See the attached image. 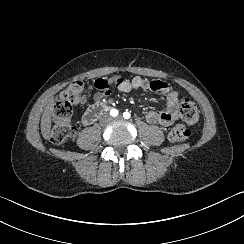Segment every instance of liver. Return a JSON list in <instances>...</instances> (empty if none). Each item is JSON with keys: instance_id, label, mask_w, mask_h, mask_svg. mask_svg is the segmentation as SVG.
Listing matches in <instances>:
<instances>
[{"instance_id": "obj_1", "label": "liver", "mask_w": 244, "mask_h": 244, "mask_svg": "<svg viewBox=\"0 0 244 244\" xmlns=\"http://www.w3.org/2000/svg\"><path fill=\"white\" fill-rule=\"evenodd\" d=\"M54 109V99L51 98L50 104L47 105L41 118V132L44 139H49L51 130V114Z\"/></svg>"}]
</instances>
